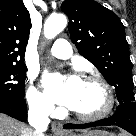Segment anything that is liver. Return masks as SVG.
I'll return each mask as SVG.
<instances>
[{"label":"liver","mask_w":136,"mask_h":136,"mask_svg":"<svg viewBox=\"0 0 136 136\" xmlns=\"http://www.w3.org/2000/svg\"><path fill=\"white\" fill-rule=\"evenodd\" d=\"M32 130L23 123L0 113V136H31Z\"/></svg>","instance_id":"liver-1"}]
</instances>
